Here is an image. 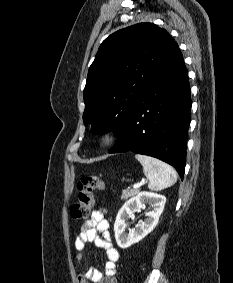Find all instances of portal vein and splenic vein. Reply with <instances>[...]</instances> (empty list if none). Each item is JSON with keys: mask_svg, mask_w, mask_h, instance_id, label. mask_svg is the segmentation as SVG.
Masks as SVG:
<instances>
[{"mask_svg": "<svg viewBox=\"0 0 233 283\" xmlns=\"http://www.w3.org/2000/svg\"><path fill=\"white\" fill-rule=\"evenodd\" d=\"M145 183H146V181H145V180H142L140 183L134 184L133 188H134V189H138V188H140L142 185H144Z\"/></svg>", "mask_w": 233, "mask_h": 283, "instance_id": "1", "label": "portal vein and splenic vein"}]
</instances>
